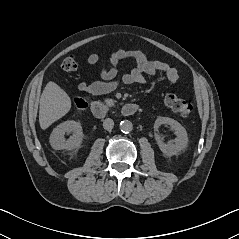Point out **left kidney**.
I'll use <instances>...</instances> for the list:
<instances>
[{
    "label": "left kidney",
    "mask_w": 239,
    "mask_h": 239,
    "mask_svg": "<svg viewBox=\"0 0 239 239\" xmlns=\"http://www.w3.org/2000/svg\"><path fill=\"white\" fill-rule=\"evenodd\" d=\"M164 124L169 125L171 129L174 130L177 136L176 139L166 144L162 141L161 137L155 133V140L163 154L167 156L177 155L187 147L188 135L186 129L178 121L172 118L159 116L155 120L154 130L157 131L159 126Z\"/></svg>",
    "instance_id": "1"
}]
</instances>
